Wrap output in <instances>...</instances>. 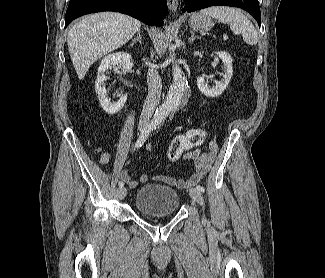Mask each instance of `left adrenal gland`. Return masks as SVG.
<instances>
[{
    "label": "left adrenal gland",
    "instance_id": "left-adrenal-gland-1",
    "mask_svg": "<svg viewBox=\"0 0 325 278\" xmlns=\"http://www.w3.org/2000/svg\"><path fill=\"white\" fill-rule=\"evenodd\" d=\"M191 37L189 38V42H193L195 39H199V36H195V33L193 31H190Z\"/></svg>",
    "mask_w": 325,
    "mask_h": 278
}]
</instances>
